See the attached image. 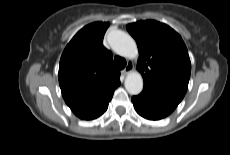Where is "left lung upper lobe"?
Listing matches in <instances>:
<instances>
[{"label": "left lung upper lobe", "instance_id": "obj_1", "mask_svg": "<svg viewBox=\"0 0 230 155\" xmlns=\"http://www.w3.org/2000/svg\"><path fill=\"white\" fill-rule=\"evenodd\" d=\"M137 42V69L144 79L143 90L179 104L188 88L191 63L180 35L166 24L139 21L126 26Z\"/></svg>", "mask_w": 230, "mask_h": 155}]
</instances>
